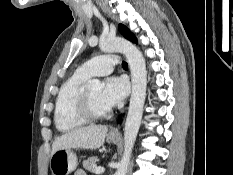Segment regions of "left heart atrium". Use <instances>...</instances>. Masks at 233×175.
<instances>
[{"label":"left heart atrium","mask_w":233,"mask_h":175,"mask_svg":"<svg viewBox=\"0 0 233 175\" xmlns=\"http://www.w3.org/2000/svg\"><path fill=\"white\" fill-rule=\"evenodd\" d=\"M128 94V84L120 77L106 79L101 91V100L107 108L115 107L123 102Z\"/></svg>","instance_id":"left-heart-atrium-1"}]
</instances>
